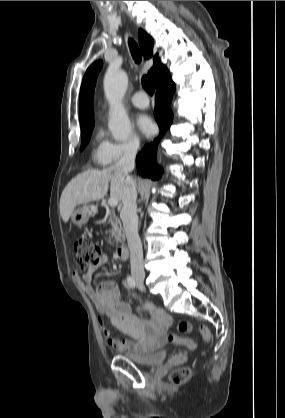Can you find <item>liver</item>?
Returning <instances> with one entry per match:
<instances>
[{
	"label": "liver",
	"mask_w": 285,
	"mask_h": 418,
	"mask_svg": "<svg viewBox=\"0 0 285 418\" xmlns=\"http://www.w3.org/2000/svg\"><path fill=\"white\" fill-rule=\"evenodd\" d=\"M110 184V198L122 199L124 177L115 166L87 170L78 174L64 188L60 198V216L67 223L76 206L103 199Z\"/></svg>",
	"instance_id": "liver-1"
}]
</instances>
